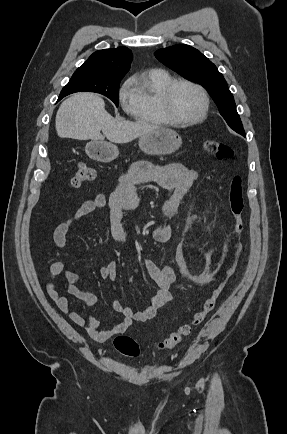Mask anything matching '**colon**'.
I'll return each mask as SVG.
<instances>
[{
	"label": "colon",
	"instance_id": "5ec220e1",
	"mask_svg": "<svg viewBox=\"0 0 287 434\" xmlns=\"http://www.w3.org/2000/svg\"><path fill=\"white\" fill-rule=\"evenodd\" d=\"M203 149L218 160H227L233 155V151L230 147L216 140L204 141ZM94 178V169L86 163H80L78 164L76 171L70 180V185L73 188H79L88 184ZM228 204L231 216L233 218L232 234L234 237V247L232 264L227 269L224 278L215 285L209 296L205 299L201 309L195 312L189 321L180 324L172 333H170L159 343L158 346L161 350H169L174 348L182 341L183 338L187 337L191 333L194 327L198 326L204 320L205 316L213 310L216 300L223 291L228 278L234 272L237 263V256L241 250L239 236L243 229V214L245 211L243 185L240 176H234L231 180L228 191ZM113 343L115 349L122 355L128 357H137L139 355V345L130 336L118 335L115 337Z\"/></svg>",
	"mask_w": 287,
	"mask_h": 434
}]
</instances>
